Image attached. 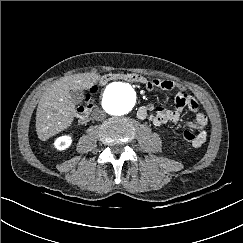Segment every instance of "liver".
Segmentation results:
<instances>
[{"instance_id":"liver-1","label":"liver","mask_w":243,"mask_h":243,"mask_svg":"<svg viewBox=\"0 0 243 243\" xmlns=\"http://www.w3.org/2000/svg\"><path fill=\"white\" fill-rule=\"evenodd\" d=\"M99 79L95 73H79L61 78L43 93L36 111V132L42 141L67 129L75 116L71 91L89 88Z\"/></svg>"}]
</instances>
